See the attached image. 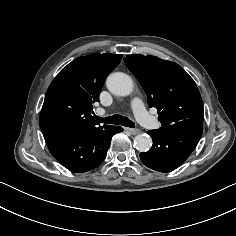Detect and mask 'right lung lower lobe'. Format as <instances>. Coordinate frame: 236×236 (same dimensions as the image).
Wrapping results in <instances>:
<instances>
[{
	"mask_svg": "<svg viewBox=\"0 0 236 236\" xmlns=\"http://www.w3.org/2000/svg\"><path fill=\"white\" fill-rule=\"evenodd\" d=\"M123 131L120 126H97L91 129L44 133L52 155L68 170L83 173L104 160L111 138Z\"/></svg>",
	"mask_w": 236,
	"mask_h": 236,
	"instance_id": "obj_1",
	"label": "right lung lower lobe"
}]
</instances>
